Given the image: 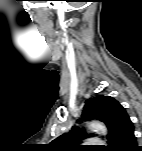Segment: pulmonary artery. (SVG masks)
<instances>
[{
	"mask_svg": "<svg viewBox=\"0 0 142 151\" xmlns=\"http://www.w3.org/2000/svg\"><path fill=\"white\" fill-rule=\"evenodd\" d=\"M89 143H90V144H101L102 141H100L99 139H90V140H89Z\"/></svg>",
	"mask_w": 142,
	"mask_h": 151,
	"instance_id": "pulmonary-artery-1",
	"label": "pulmonary artery"
}]
</instances>
